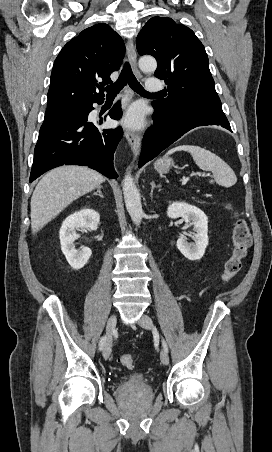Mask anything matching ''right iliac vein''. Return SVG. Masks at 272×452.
I'll return each instance as SVG.
<instances>
[{
	"instance_id": "63e3f726",
	"label": "right iliac vein",
	"mask_w": 272,
	"mask_h": 452,
	"mask_svg": "<svg viewBox=\"0 0 272 452\" xmlns=\"http://www.w3.org/2000/svg\"><path fill=\"white\" fill-rule=\"evenodd\" d=\"M117 318L115 315L110 316L106 325V341L103 348V356L105 359H108L111 354V346H112V333L116 327Z\"/></svg>"
}]
</instances>
